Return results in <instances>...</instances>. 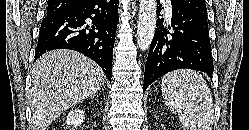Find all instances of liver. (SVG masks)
Listing matches in <instances>:
<instances>
[{"instance_id":"liver-1","label":"liver","mask_w":249,"mask_h":130,"mask_svg":"<svg viewBox=\"0 0 249 130\" xmlns=\"http://www.w3.org/2000/svg\"><path fill=\"white\" fill-rule=\"evenodd\" d=\"M32 76L34 130H46L65 110L95 94L106 80L93 60L72 50L45 53L36 61Z\"/></svg>"}]
</instances>
